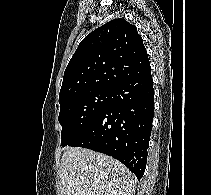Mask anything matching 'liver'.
I'll use <instances>...</instances> for the list:
<instances>
[{
	"label": "liver",
	"instance_id": "liver-1",
	"mask_svg": "<svg viewBox=\"0 0 211 195\" xmlns=\"http://www.w3.org/2000/svg\"><path fill=\"white\" fill-rule=\"evenodd\" d=\"M59 178V195H133L137 183L118 160L81 147L66 148Z\"/></svg>",
	"mask_w": 211,
	"mask_h": 195
}]
</instances>
